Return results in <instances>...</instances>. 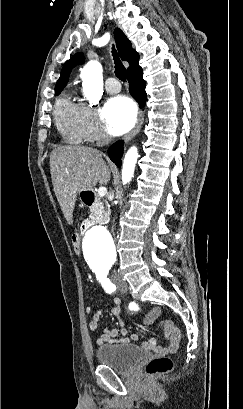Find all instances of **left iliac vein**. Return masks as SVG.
<instances>
[{"mask_svg":"<svg viewBox=\"0 0 243 409\" xmlns=\"http://www.w3.org/2000/svg\"><path fill=\"white\" fill-rule=\"evenodd\" d=\"M113 282L117 285V287L121 290V292L126 293L128 290V285L125 280L118 274L114 275Z\"/></svg>","mask_w":243,"mask_h":409,"instance_id":"1","label":"left iliac vein"}]
</instances>
